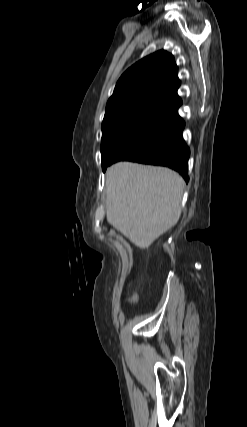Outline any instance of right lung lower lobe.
<instances>
[{
    "instance_id": "right-lung-lower-lobe-1",
    "label": "right lung lower lobe",
    "mask_w": 247,
    "mask_h": 427,
    "mask_svg": "<svg viewBox=\"0 0 247 427\" xmlns=\"http://www.w3.org/2000/svg\"><path fill=\"white\" fill-rule=\"evenodd\" d=\"M179 97L152 111L121 142L107 166L129 160L168 166L188 181L190 150L182 137L185 122L178 115Z\"/></svg>"
}]
</instances>
